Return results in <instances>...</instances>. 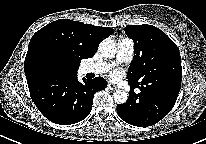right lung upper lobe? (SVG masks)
I'll use <instances>...</instances> for the list:
<instances>
[{
	"instance_id": "1",
	"label": "right lung upper lobe",
	"mask_w": 206,
	"mask_h": 144,
	"mask_svg": "<svg viewBox=\"0 0 206 144\" xmlns=\"http://www.w3.org/2000/svg\"><path fill=\"white\" fill-rule=\"evenodd\" d=\"M114 32L69 19L56 20L38 30L31 38L24 62L27 83L46 75L37 68L40 58L51 56L61 62V71L54 76H75L82 59L93 57L103 38Z\"/></svg>"
}]
</instances>
